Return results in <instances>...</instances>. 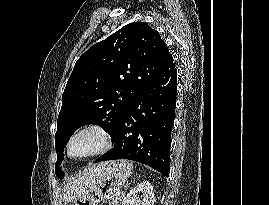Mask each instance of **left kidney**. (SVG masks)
<instances>
[{"label":"left kidney","mask_w":269,"mask_h":205,"mask_svg":"<svg viewBox=\"0 0 269 205\" xmlns=\"http://www.w3.org/2000/svg\"><path fill=\"white\" fill-rule=\"evenodd\" d=\"M142 193L140 199L138 193ZM122 205H154L153 187L149 182H142L132 188L123 199Z\"/></svg>","instance_id":"obj_1"}]
</instances>
